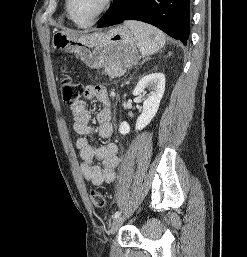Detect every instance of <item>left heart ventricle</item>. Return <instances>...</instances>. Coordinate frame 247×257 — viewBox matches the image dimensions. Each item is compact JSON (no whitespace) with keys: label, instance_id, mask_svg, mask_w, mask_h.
Segmentation results:
<instances>
[{"label":"left heart ventricle","instance_id":"obj_1","mask_svg":"<svg viewBox=\"0 0 247 257\" xmlns=\"http://www.w3.org/2000/svg\"><path fill=\"white\" fill-rule=\"evenodd\" d=\"M102 3L103 0H71V13L77 21L86 23L98 12Z\"/></svg>","mask_w":247,"mask_h":257}]
</instances>
